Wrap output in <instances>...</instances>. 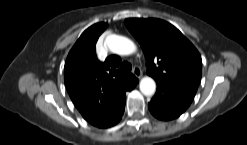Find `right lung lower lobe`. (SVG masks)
<instances>
[{
  "instance_id": "98d812e1",
  "label": "right lung lower lobe",
  "mask_w": 247,
  "mask_h": 145,
  "mask_svg": "<svg viewBox=\"0 0 247 145\" xmlns=\"http://www.w3.org/2000/svg\"><path fill=\"white\" fill-rule=\"evenodd\" d=\"M137 83H138V79L131 84L130 89H128V90H132L136 86ZM124 106H125V104H124ZM123 113H124V107L116 117H114L113 119L107 121L106 123H104L98 127L99 128H108V127H111V126L117 124L120 121Z\"/></svg>"
}]
</instances>
